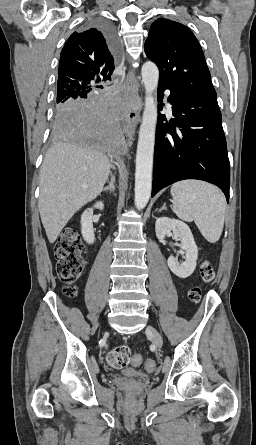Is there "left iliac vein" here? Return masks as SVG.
<instances>
[{"label":"left iliac vein","instance_id":"1","mask_svg":"<svg viewBox=\"0 0 256 445\" xmlns=\"http://www.w3.org/2000/svg\"><path fill=\"white\" fill-rule=\"evenodd\" d=\"M146 334L150 337L151 341L158 347L162 348L163 339L160 333L151 325L146 327Z\"/></svg>","mask_w":256,"mask_h":445}]
</instances>
